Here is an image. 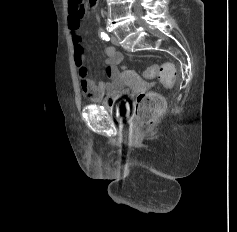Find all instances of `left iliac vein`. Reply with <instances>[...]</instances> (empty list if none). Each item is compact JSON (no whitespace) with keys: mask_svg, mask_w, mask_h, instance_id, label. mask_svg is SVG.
Masks as SVG:
<instances>
[{"mask_svg":"<svg viewBox=\"0 0 237 232\" xmlns=\"http://www.w3.org/2000/svg\"><path fill=\"white\" fill-rule=\"evenodd\" d=\"M111 42H112L115 46H118V45H119V40H118L117 36H115V35H112V36H111Z\"/></svg>","mask_w":237,"mask_h":232,"instance_id":"obj_1","label":"left iliac vein"}]
</instances>
